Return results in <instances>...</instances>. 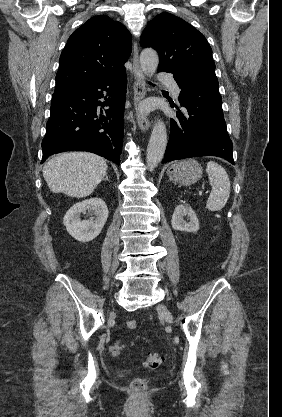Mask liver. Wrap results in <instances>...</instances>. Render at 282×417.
Wrapping results in <instances>:
<instances>
[{
  "label": "liver",
  "mask_w": 282,
  "mask_h": 417,
  "mask_svg": "<svg viewBox=\"0 0 282 417\" xmlns=\"http://www.w3.org/2000/svg\"><path fill=\"white\" fill-rule=\"evenodd\" d=\"M107 162L92 152H61L45 162L43 176L52 192L88 196L107 174Z\"/></svg>",
  "instance_id": "6515ba94"
}]
</instances>
